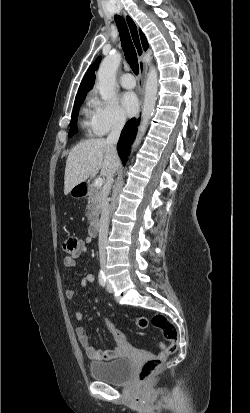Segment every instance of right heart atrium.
I'll use <instances>...</instances> for the list:
<instances>
[{
	"label": "right heart atrium",
	"instance_id": "d8ad5b80",
	"mask_svg": "<svg viewBox=\"0 0 250 413\" xmlns=\"http://www.w3.org/2000/svg\"><path fill=\"white\" fill-rule=\"evenodd\" d=\"M92 123L95 134L105 135L120 131L126 124V116L115 99L108 101L94 99Z\"/></svg>",
	"mask_w": 250,
	"mask_h": 413
}]
</instances>
